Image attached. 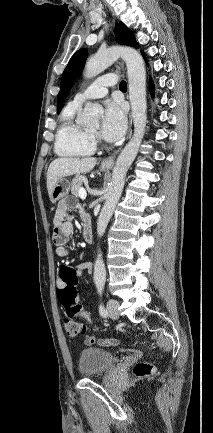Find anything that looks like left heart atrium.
<instances>
[{
    "mask_svg": "<svg viewBox=\"0 0 213 433\" xmlns=\"http://www.w3.org/2000/svg\"><path fill=\"white\" fill-rule=\"evenodd\" d=\"M126 130V115L122 104L116 100L105 103L104 117L101 127L103 137L109 141H116Z\"/></svg>",
    "mask_w": 213,
    "mask_h": 433,
    "instance_id": "1",
    "label": "left heart atrium"
}]
</instances>
